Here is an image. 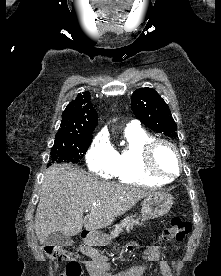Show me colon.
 Returning a JSON list of instances; mask_svg holds the SVG:
<instances>
[{
    "label": "colon",
    "instance_id": "1",
    "mask_svg": "<svg viewBox=\"0 0 221 276\" xmlns=\"http://www.w3.org/2000/svg\"><path fill=\"white\" fill-rule=\"evenodd\" d=\"M191 231V224L179 217H173L161 234L162 241H181ZM45 254L54 261L67 262L66 270L61 276H79L80 266L75 256L61 246L45 245Z\"/></svg>",
    "mask_w": 221,
    "mask_h": 276
}]
</instances>
